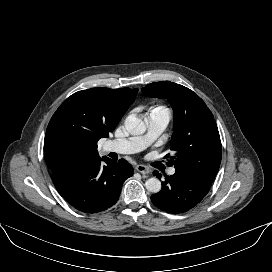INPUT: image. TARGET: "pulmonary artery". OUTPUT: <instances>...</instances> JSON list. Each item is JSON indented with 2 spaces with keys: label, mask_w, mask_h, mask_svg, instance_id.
Wrapping results in <instances>:
<instances>
[{
  "label": "pulmonary artery",
  "mask_w": 272,
  "mask_h": 272,
  "mask_svg": "<svg viewBox=\"0 0 272 272\" xmlns=\"http://www.w3.org/2000/svg\"><path fill=\"white\" fill-rule=\"evenodd\" d=\"M169 113L165 110H153L147 113V133L143 136L132 137L125 140H115L108 143V149L120 154L137 153L153 142L167 127L169 123ZM175 169L169 170L173 175Z\"/></svg>",
  "instance_id": "pulmonary-artery-1"
}]
</instances>
